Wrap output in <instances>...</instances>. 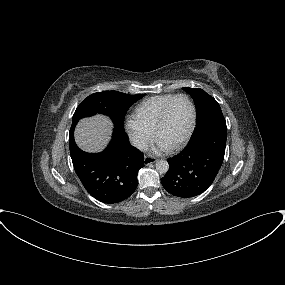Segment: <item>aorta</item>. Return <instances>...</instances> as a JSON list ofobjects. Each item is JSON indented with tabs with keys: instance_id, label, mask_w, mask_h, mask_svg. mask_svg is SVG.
Here are the masks:
<instances>
[{
	"instance_id": "1",
	"label": "aorta",
	"mask_w": 285,
	"mask_h": 285,
	"mask_svg": "<svg viewBox=\"0 0 285 285\" xmlns=\"http://www.w3.org/2000/svg\"><path fill=\"white\" fill-rule=\"evenodd\" d=\"M156 170L161 174L166 173L169 170V163L166 160H158L156 162Z\"/></svg>"
}]
</instances>
